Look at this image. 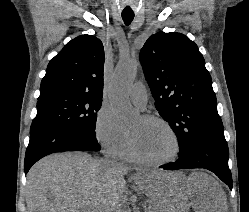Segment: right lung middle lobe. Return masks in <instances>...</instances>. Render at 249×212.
<instances>
[{
  "mask_svg": "<svg viewBox=\"0 0 249 212\" xmlns=\"http://www.w3.org/2000/svg\"><path fill=\"white\" fill-rule=\"evenodd\" d=\"M102 98L76 93H51L39 96L37 115L30 134L49 128H69L96 137L97 111Z\"/></svg>",
  "mask_w": 249,
  "mask_h": 212,
  "instance_id": "1",
  "label": "right lung middle lobe"
}]
</instances>
